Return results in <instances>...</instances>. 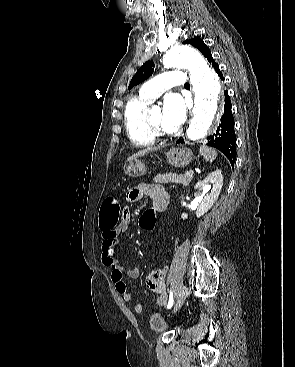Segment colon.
I'll list each match as a JSON object with an SVG mask.
<instances>
[{
    "label": "colon",
    "instance_id": "colon-1",
    "mask_svg": "<svg viewBox=\"0 0 295 367\" xmlns=\"http://www.w3.org/2000/svg\"><path fill=\"white\" fill-rule=\"evenodd\" d=\"M157 211L155 206H150L148 211L145 212L140 218L139 231H151L155 224L154 213ZM121 205L117 198L109 197L103 203L100 215H99V225L100 228H113L120 217Z\"/></svg>",
    "mask_w": 295,
    "mask_h": 367
}]
</instances>
